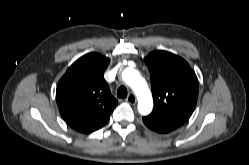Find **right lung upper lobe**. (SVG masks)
Masks as SVG:
<instances>
[{"mask_svg":"<svg viewBox=\"0 0 249 165\" xmlns=\"http://www.w3.org/2000/svg\"><path fill=\"white\" fill-rule=\"evenodd\" d=\"M109 63V58L98 53L84 55L68 68L57 85L60 114L79 132L101 128L118 103L103 76Z\"/></svg>","mask_w":249,"mask_h":165,"instance_id":"1","label":"right lung upper lobe"}]
</instances>
